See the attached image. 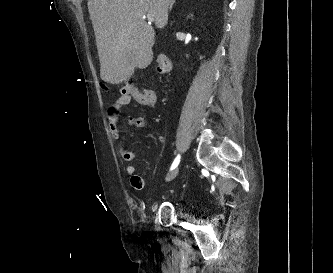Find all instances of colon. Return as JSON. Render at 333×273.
Instances as JSON below:
<instances>
[{"mask_svg":"<svg viewBox=\"0 0 333 273\" xmlns=\"http://www.w3.org/2000/svg\"><path fill=\"white\" fill-rule=\"evenodd\" d=\"M171 69V63L167 56L158 55L156 57V70L159 74H166ZM136 91V88L131 84L127 83L121 88L122 95H131Z\"/></svg>","mask_w":333,"mask_h":273,"instance_id":"5ec220e1","label":"colon"}]
</instances>
